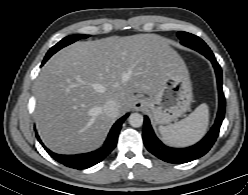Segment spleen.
Listing matches in <instances>:
<instances>
[{
    "mask_svg": "<svg viewBox=\"0 0 248 195\" xmlns=\"http://www.w3.org/2000/svg\"><path fill=\"white\" fill-rule=\"evenodd\" d=\"M209 123L207 104L199 105L191 114L169 126H160L162 140L169 146L185 147L199 141L206 133Z\"/></svg>",
    "mask_w": 248,
    "mask_h": 195,
    "instance_id": "1",
    "label": "spleen"
}]
</instances>
